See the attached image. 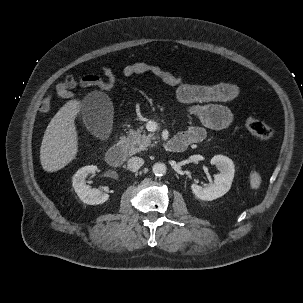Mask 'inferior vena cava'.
Returning <instances> with one entry per match:
<instances>
[{
	"label": "inferior vena cava",
	"instance_id": "1",
	"mask_svg": "<svg viewBox=\"0 0 303 303\" xmlns=\"http://www.w3.org/2000/svg\"><path fill=\"white\" fill-rule=\"evenodd\" d=\"M144 164V160L140 157H132L127 162V168L132 171L136 172L140 169V167Z\"/></svg>",
	"mask_w": 303,
	"mask_h": 303
}]
</instances>
